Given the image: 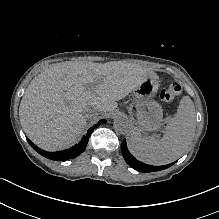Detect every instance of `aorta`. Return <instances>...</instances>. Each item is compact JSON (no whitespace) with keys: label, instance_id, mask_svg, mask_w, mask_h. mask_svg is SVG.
Returning <instances> with one entry per match:
<instances>
[{"label":"aorta","instance_id":"obj_1","mask_svg":"<svg viewBox=\"0 0 219 219\" xmlns=\"http://www.w3.org/2000/svg\"><path fill=\"white\" fill-rule=\"evenodd\" d=\"M131 125V121L125 115H118L113 121V127L119 134H127L130 132Z\"/></svg>","mask_w":219,"mask_h":219}]
</instances>
